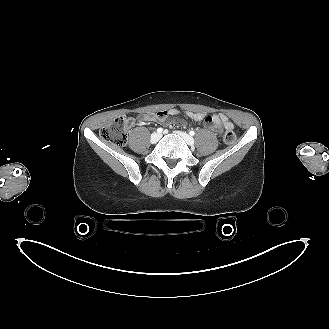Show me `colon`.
Instances as JSON below:
<instances>
[{"label":"colon","instance_id":"5ec220e1","mask_svg":"<svg viewBox=\"0 0 329 329\" xmlns=\"http://www.w3.org/2000/svg\"><path fill=\"white\" fill-rule=\"evenodd\" d=\"M131 122L129 117H119L103 126L100 130V137L116 146H123L127 140V128ZM236 140V134L233 131H226L224 141L232 144Z\"/></svg>","mask_w":329,"mask_h":329}]
</instances>
